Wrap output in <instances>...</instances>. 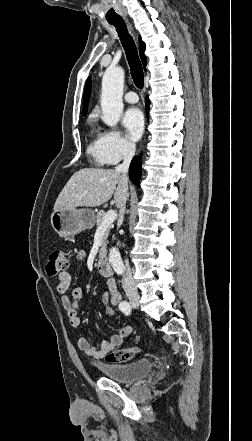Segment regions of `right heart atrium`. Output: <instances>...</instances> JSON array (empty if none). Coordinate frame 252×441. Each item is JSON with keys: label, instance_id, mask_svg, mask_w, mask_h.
<instances>
[{"label": "right heart atrium", "instance_id": "1", "mask_svg": "<svg viewBox=\"0 0 252 441\" xmlns=\"http://www.w3.org/2000/svg\"><path fill=\"white\" fill-rule=\"evenodd\" d=\"M101 150L105 163L109 165L128 159L135 153V147L115 129H109L102 133Z\"/></svg>", "mask_w": 252, "mask_h": 441}]
</instances>
